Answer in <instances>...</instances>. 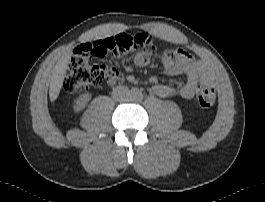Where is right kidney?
<instances>
[{
	"instance_id": "obj_1",
	"label": "right kidney",
	"mask_w": 265,
	"mask_h": 202,
	"mask_svg": "<svg viewBox=\"0 0 265 202\" xmlns=\"http://www.w3.org/2000/svg\"><path fill=\"white\" fill-rule=\"evenodd\" d=\"M90 98H91V95H89L88 93L83 94L82 96L77 98L75 101L74 110L76 112H80L81 110H83L85 106L87 105L88 101L90 100Z\"/></svg>"
}]
</instances>
